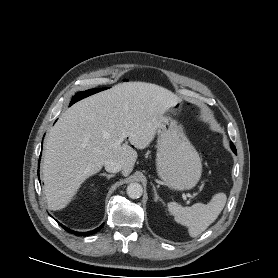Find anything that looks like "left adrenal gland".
Segmentation results:
<instances>
[{"mask_svg":"<svg viewBox=\"0 0 278 278\" xmlns=\"http://www.w3.org/2000/svg\"><path fill=\"white\" fill-rule=\"evenodd\" d=\"M152 187H153V191H154V200L157 202V201H160L164 204L163 200L158 196L157 194V191H156V188L155 186L152 184Z\"/></svg>","mask_w":278,"mask_h":278,"instance_id":"1","label":"left adrenal gland"}]
</instances>
